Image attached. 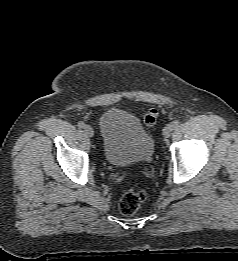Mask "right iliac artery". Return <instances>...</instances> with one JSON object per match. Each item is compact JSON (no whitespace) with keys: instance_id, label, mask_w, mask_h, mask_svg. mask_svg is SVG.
<instances>
[{"instance_id":"right-iliac-artery-1","label":"right iliac artery","mask_w":238,"mask_h":261,"mask_svg":"<svg viewBox=\"0 0 238 261\" xmlns=\"http://www.w3.org/2000/svg\"><path fill=\"white\" fill-rule=\"evenodd\" d=\"M78 127L79 128H84L85 127V123L82 122V121L78 122Z\"/></svg>"}]
</instances>
